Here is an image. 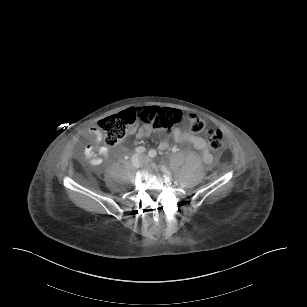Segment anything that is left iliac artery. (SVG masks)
I'll return each instance as SVG.
<instances>
[{"label":"left iliac artery","instance_id":"obj_1","mask_svg":"<svg viewBox=\"0 0 307 307\" xmlns=\"http://www.w3.org/2000/svg\"><path fill=\"white\" fill-rule=\"evenodd\" d=\"M148 155H149V157H151V158H155V157L157 156V152H156V150L151 149V150L148 152Z\"/></svg>","mask_w":307,"mask_h":307}]
</instances>
